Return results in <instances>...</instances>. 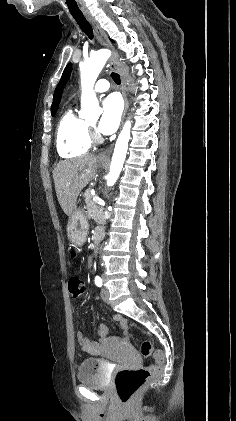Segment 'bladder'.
<instances>
[{
	"instance_id": "1",
	"label": "bladder",
	"mask_w": 236,
	"mask_h": 421,
	"mask_svg": "<svg viewBox=\"0 0 236 421\" xmlns=\"http://www.w3.org/2000/svg\"><path fill=\"white\" fill-rule=\"evenodd\" d=\"M101 361L97 358H86L76 371L77 383L88 386L91 390L107 387L106 373L101 370Z\"/></svg>"
}]
</instances>
